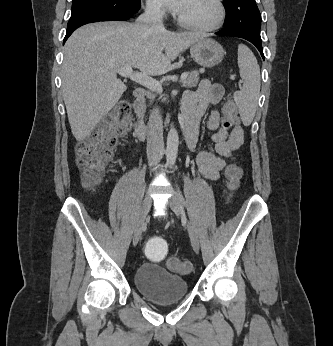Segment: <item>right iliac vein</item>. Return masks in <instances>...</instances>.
Returning a JSON list of instances; mask_svg holds the SVG:
<instances>
[{
	"mask_svg": "<svg viewBox=\"0 0 333 346\" xmlns=\"http://www.w3.org/2000/svg\"><path fill=\"white\" fill-rule=\"evenodd\" d=\"M151 204H152L151 197L149 195H146L145 198L143 199L142 204H141L138 219L136 222V227H135V231H134V235H133V245L134 246L137 245V243L141 237L142 228H143V225L147 219L148 213H149L150 208H151Z\"/></svg>",
	"mask_w": 333,
	"mask_h": 346,
	"instance_id": "63e3f726",
	"label": "right iliac vein"
}]
</instances>
